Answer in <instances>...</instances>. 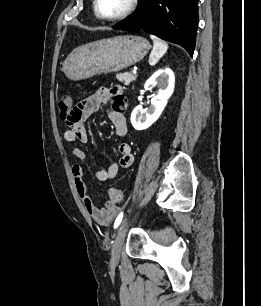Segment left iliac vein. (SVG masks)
<instances>
[{
    "label": "left iliac vein",
    "mask_w": 261,
    "mask_h": 306,
    "mask_svg": "<svg viewBox=\"0 0 261 306\" xmlns=\"http://www.w3.org/2000/svg\"><path fill=\"white\" fill-rule=\"evenodd\" d=\"M129 227V219L126 218L123 222L122 225L120 227V229L118 230L113 245H112V257H111V263L113 265H116L120 259V254H121V248L127 233Z\"/></svg>",
    "instance_id": "left-iliac-vein-1"
}]
</instances>
